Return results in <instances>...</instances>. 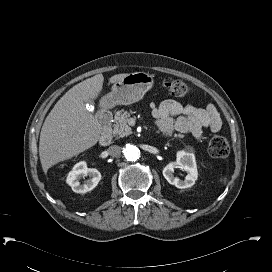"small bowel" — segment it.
Returning <instances> with one entry per match:
<instances>
[{"instance_id": "obj_1", "label": "small bowel", "mask_w": 272, "mask_h": 272, "mask_svg": "<svg viewBox=\"0 0 272 272\" xmlns=\"http://www.w3.org/2000/svg\"><path fill=\"white\" fill-rule=\"evenodd\" d=\"M151 109L158 126L165 133L176 130L191 133L201 139L204 128H210L213 132L221 128V119L213 104L199 108L175 100H165L158 107L151 105Z\"/></svg>"}]
</instances>
